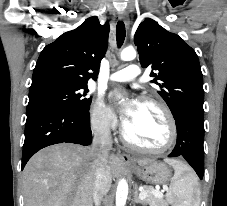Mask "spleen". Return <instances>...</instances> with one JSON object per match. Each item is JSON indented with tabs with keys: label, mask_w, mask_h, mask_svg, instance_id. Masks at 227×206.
<instances>
[{
	"label": "spleen",
	"mask_w": 227,
	"mask_h": 206,
	"mask_svg": "<svg viewBox=\"0 0 227 206\" xmlns=\"http://www.w3.org/2000/svg\"><path fill=\"white\" fill-rule=\"evenodd\" d=\"M167 162L175 171L170 185L169 201L173 206H199L200 189L196 176L188 172L189 168L180 161L167 160Z\"/></svg>",
	"instance_id": "obj_1"
}]
</instances>
